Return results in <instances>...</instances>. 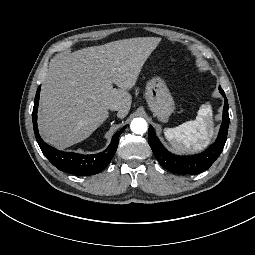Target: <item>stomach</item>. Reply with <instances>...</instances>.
I'll return each instance as SVG.
<instances>
[{"mask_svg":"<svg viewBox=\"0 0 255 255\" xmlns=\"http://www.w3.org/2000/svg\"><path fill=\"white\" fill-rule=\"evenodd\" d=\"M145 101L159 121H167L174 111V100L166 84L160 78H153L147 84Z\"/></svg>","mask_w":255,"mask_h":255,"instance_id":"obj_1","label":"stomach"}]
</instances>
